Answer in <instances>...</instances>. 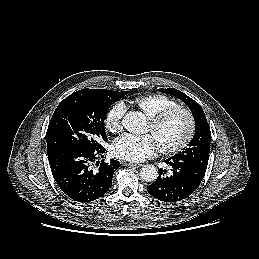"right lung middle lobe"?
<instances>
[{
    "label": "right lung middle lobe",
    "mask_w": 259,
    "mask_h": 259,
    "mask_svg": "<svg viewBox=\"0 0 259 259\" xmlns=\"http://www.w3.org/2000/svg\"><path fill=\"white\" fill-rule=\"evenodd\" d=\"M103 89H82L60 102L47 129V154L62 149L98 150L107 141L104 120L109 107L128 94Z\"/></svg>",
    "instance_id": "dd1d6c3e"
}]
</instances>
